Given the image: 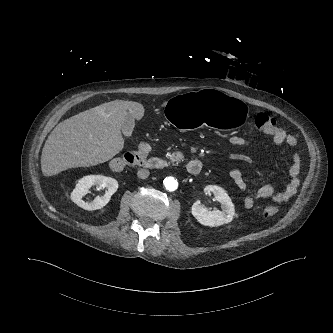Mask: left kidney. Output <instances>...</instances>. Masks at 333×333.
I'll return each instance as SVG.
<instances>
[{
	"label": "left kidney",
	"instance_id": "obj_1",
	"mask_svg": "<svg viewBox=\"0 0 333 333\" xmlns=\"http://www.w3.org/2000/svg\"><path fill=\"white\" fill-rule=\"evenodd\" d=\"M205 193H213L215 199L222 204V211H209L196 201L191 208L192 215L204 226H220L233 220L235 214L234 204L226 191L217 185H208L204 188Z\"/></svg>",
	"mask_w": 333,
	"mask_h": 333
}]
</instances>
